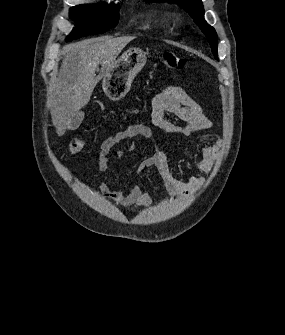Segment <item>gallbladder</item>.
Segmentation results:
<instances>
[{"label": "gallbladder", "mask_w": 285, "mask_h": 335, "mask_svg": "<svg viewBox=\"0 0 285 335\" xmlns=\"http://www.w3.org/2000/svg\"><path fill=\"white\" fill-rule=\"evenodd\" d=\"M84 118L83 112H76L75 116H73L70 124H69V130H77L79 128L82 120Z\"/></svg>", "instance_id": "1"}]
</instances>
